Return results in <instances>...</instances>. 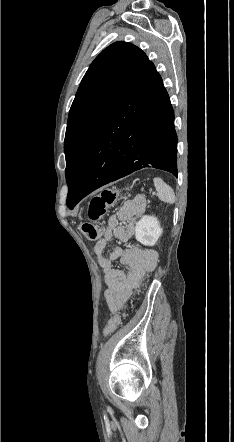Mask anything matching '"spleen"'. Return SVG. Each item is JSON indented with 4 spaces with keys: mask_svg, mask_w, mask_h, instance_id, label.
<instances>
[{
    "mask_svg": "<svg viewBox=\"0 0 234 442\" xmlns=\"http://www.w3.org/2000/svg\"><path fill=\"white\" fill-rule=\"evenodd\" d=\"M154 186L158 192L160 200L172 204L175 202V194L173 189L166 184L161 178L156 177L153 180Z\"/></svg>",
    "mask_w": 234,
    "mask_h": 442,
    "instance_id": "obj_1",
    "label": "spleen"
}]
</instances>
